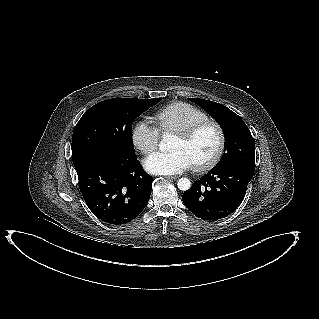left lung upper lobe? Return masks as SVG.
Listing matches in <instances>:
<instances>
[{
    "instance_id": "obj_1",
    "label": "left lung upper lobe",
    "mask_w": 319,
    "mask_h": 319,
    "mask_svg": "<svg viewBox=\"0 0 319 319\" xmlns=\"http://www.w3.org/2000/svg\"><path fill=\"white\" fill-rule=\"evenodd\" d=\"M190 100L209 113L223 129L225 153L214 168L239 164L255 169L254 139L244 121L219 103L198 98Z\"/></svg>"
}]
</instances>
